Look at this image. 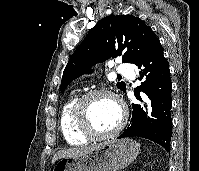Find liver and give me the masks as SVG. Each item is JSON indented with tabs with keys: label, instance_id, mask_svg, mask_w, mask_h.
<instances>
[{
	"label": "liver",
	"instance_id": "1",
	"mask_svg": "<svg viewBox=\"0 0 199 171\" xmlns=\"http://www.w3.org/2000/svg\"><path fill=\"white\" fill-rule=\"evenodd\" d=\"M96 146L76 147V148H70V149H67V150L59 151L53 156L52 164L55 163L58 159L85 154V153L93 150Z\"/></svg>",
	"mask_w": 199,
	"mask_h": 171
}]
</instances>
